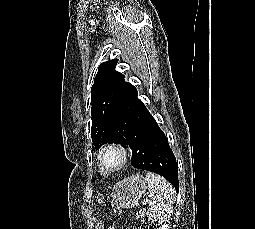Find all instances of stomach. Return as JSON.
<instances>
[{
    "mask_svg": "<svg viewBox=\"0 0 255 229\" xmlns=\"http://www.w3.org/2000/svg\"><path fill=\"white\" fill-rule=\"evenodd\" d=\"M147 188V180L142 175H132L116 183L112 189V206L115 208H133Z\"/></svg>",
    "mask_w": 255,
    "mask_h": 229,
    "instance_id": "1",
    "label": "stomach"
}]
</instances>
